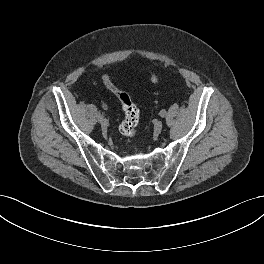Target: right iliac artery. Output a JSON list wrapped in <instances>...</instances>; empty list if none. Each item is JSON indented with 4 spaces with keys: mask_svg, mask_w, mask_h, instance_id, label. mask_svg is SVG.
I'll list each match as a JSON object with an SVG mask.
<instances>
[{
    "mask_svg": "<svg viewBox=\"0 0 264 264\" xmlns=\"http://www.w3.org/2000/svg\"><path fill=\"white\" fill-rule=\"evenodd\" d=\"M98 119H99V121L101 122V121L103 120V114L99 113V115H98Z\"/></svg>",
    "mask_w": 264,
    "mask_h": 264,
    "instance_id": "82829eb1",
    "label": "right iliac artery"
}]
</instances>
